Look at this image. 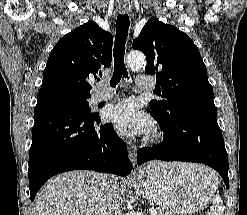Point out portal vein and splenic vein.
<instances>
[{
    "label": "portal vein and splenic vein",
    "instance_id": "portal-vein-and-splenic-vein-1",
    "mask_svg": "<svg viewBox=\"0 0 247 215\" xmlns=\"http://www.w3.org/2000/svg\"><path fill=\"white\" fill-rule=\"evenodd\" d=\"M149 213H150L151 215H157V211H156L155 209H153V208H150V209H149Z\"/></svg>",
    "mask_w": 247,
    "mask_h": 215
}]
</instances>
